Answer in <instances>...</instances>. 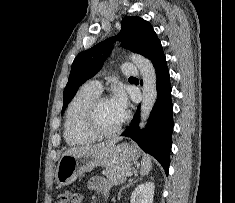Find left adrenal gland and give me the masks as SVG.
Instances as JSON below:
<instances>
[{
	"label": "left adrenal gland",
	"instance_id": "a2214340",
	"mask_svg": "<svg viewBox=\"0 0 235 203\" xmlns=\"http://www.w3.org/2000/svg\"><path fill=\"white\" fill-rule=\"evenodd\" d=\"M137 176H138V175H137V171H135V178H136ZM135 178H130V179L128 180L127 184L124 185V186L120 189V191H119V193H118V200H120L121 193H122V191H123L125 188L129 187L130 185H132L133 183H135V182L138 181V179H135Z\"/></svg>",
	"mask_w": 235,
	"mask_h": 203
}]
</instances>
